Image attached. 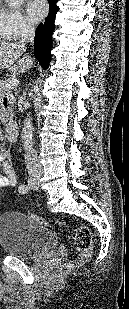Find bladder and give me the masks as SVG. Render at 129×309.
Masks as SVG:
<instances>
[{"label":"bladder","mask_w":129,"mask_h":309,"mask_svg":"<svg viewBox=\"0 0 129 309\" xmlns=\"http://www.w3.org/2000/svg\"><path fill=\"white\" fill-rule=\"evenodd\" d=\"M56 245L55 234L30 215L15 211L0 215V246L7 254L34 259Z\"/></svg>","instance_id":"bladder-1"}]
</instances>
